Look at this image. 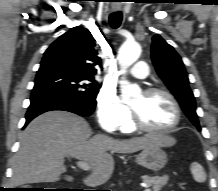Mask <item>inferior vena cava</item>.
Masks as SVG:
<instances>
[{
    "instance_id": "602c4592",
    "label": "inferior vena cava",
    "mask_w": 218,
    "mask_h": 191,
    "mask_svg": "<svg viewBox=\"0 0 218 191\" xmlns=\"http://www.w3.org/2000/svg\"><path fill=\"white\" fill-rule=\"evenodd\" d=\"M91 185H92V186H94V185H95V183H94V182H92V183H91Z\"/></svg>"
}]
</instances>
